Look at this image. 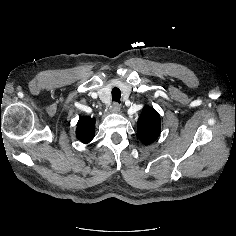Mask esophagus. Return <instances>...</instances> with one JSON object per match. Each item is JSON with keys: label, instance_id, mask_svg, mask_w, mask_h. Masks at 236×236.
Returning <instances> with one entry per match:
<instances>
[{"label": "esophagus", "instance_id": "34e87169", "mask_svg": "<svg viewBox=\"0 0 236 236\" xmlns=\"http://www.w3.org/2000/svg\"><path fill=\"white\" fill-rule=\"evenodd\" d=\"M111 112L118 113L120 111V105L117 102H114L110 107Z\"/></svg>", "mask_w": 236, "mask_h": 236}]
</instances>
